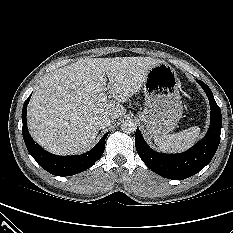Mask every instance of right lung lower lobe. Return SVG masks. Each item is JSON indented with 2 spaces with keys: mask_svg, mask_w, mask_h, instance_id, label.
Segmentation results:
<instances>
[{
  "mask_svg": "<svg viewBox=\"0 0 233 233\" xmlns=\"http://www.w3.org/2000/svg\"><path fill=\"white\" fill-rule=\"evenodd\" d=\"M31 95L25 101L22 110L23 138L30 155L49 173L56 176H71L87 170L101 157L105 148L106 133L90 151L77 156H57L45 151L30 136L26 122L27 105Z\"/></svg>",
  "mask_w": 233,
  "mask_h": 233,
  "instance_id": "98d812e1",
  "label": "right lung lower lobe"
}]
</instances>
